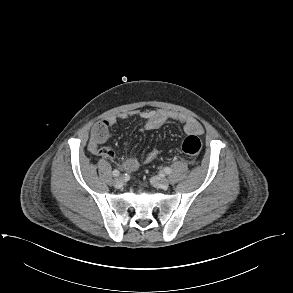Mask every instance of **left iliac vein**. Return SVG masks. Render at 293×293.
I'll use <instances>...</instances> for the list:
<instances>
[{
  "instance_id": "left-iliac-vein-1",
  "label": "left iliac vein",
  "mask_w": 293,
  "mask_h": 293,
  "mask_svg": "<svg viewBox=\"0 0 293 293\" xmlns=\"http://www.w3.org/2000/svg\"><path fill=\"white\" fill-rule=\"evenodd\" d=\"M150 182L154 187L159 189H167L169 186L168 180L164 177H157V176L151 177Z\"/></svg>"
}]
</instances>
